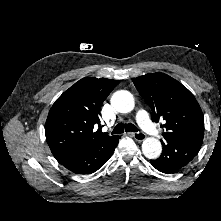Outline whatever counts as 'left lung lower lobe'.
I'll list each match as a JSON object with an SVG mask.
<instances>
[{
  "instance_id": "1",
  "label": "left lung lower lobe",
  "mask_w": 221,
  "mask_h": 221,
  "mask_svg": "<svg viewBox=\"0 0 221 221\" xmlns=\"http://www.w3.org/2000/svg\"><path fill=\"white\" fill-rule=\"evenodd\" d=\"M203 138L161 141L163 152L151 164L160 172L173 174L185 167L199 152Z\"/></svg>"
}]
</instances>
